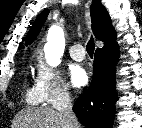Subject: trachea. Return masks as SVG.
I'll use <instances>...</instances> for the list:
<instances>
[{
    "label": "trachea",
    "mask_w": 142,
    "mask_h": 128,
    "mask_svg": "<svg viewBox=\"0 0 142 128\" xmlns=\"http://www.w3.org/2000/svg\"><path fill=\"white\" fill-rule=\"evenodd\" d=\"M94 48H95L94 39L93 37H91L86 46L87 53L89 54L90 57H93Z\"/></svg>",
    "instance_id": "obj_1"
}]
</instances>
